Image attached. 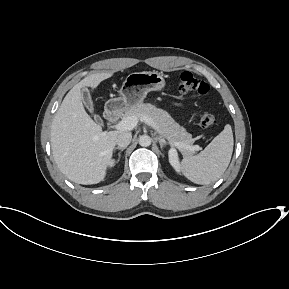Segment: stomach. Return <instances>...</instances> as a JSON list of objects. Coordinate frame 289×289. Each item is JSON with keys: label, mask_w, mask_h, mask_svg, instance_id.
<instances>
[{"label": "stomach", "mask_w": 289, "mask_h": 289, "mask_svg": "<svg viewBox=\"0 0 289 289\" xmlns=\"http://www.w3.org/2000/svg\"><path fill=\"white\" fill-rule=\"evenodd\" d=\"M165 79L157 71H144L129 74L119 91L120 96L110 99L107 104L113 110H127L142 103L151 91H161Z\"/></svg>", "instance_id": "obj_1"}]
</instances>
